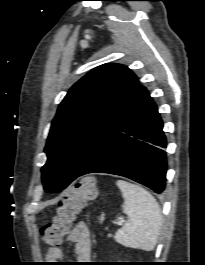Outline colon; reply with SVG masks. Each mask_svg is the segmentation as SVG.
<instances>
[{"instance_id":"obj_1","label":"colon","mask_w":205,"mask_h":265,"mask_svg":"<svg viewBox=\"0 0 205 265\" xmlns=\"http://www.w3.org/2000/svg\"><path fill=\"white\" fill-rule=\"evenodd\" d=\"M96 195L97 187L93 177H85L72 186L61 200L56 214L41 228L42 241L48 245H58L69 231L76 215Z\"/></svg>"}]
</instances>
